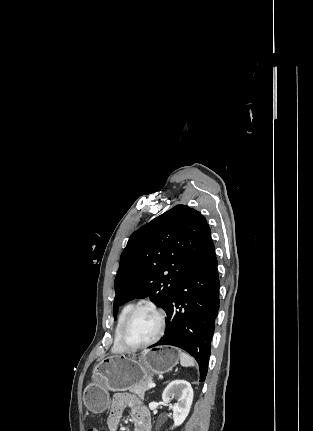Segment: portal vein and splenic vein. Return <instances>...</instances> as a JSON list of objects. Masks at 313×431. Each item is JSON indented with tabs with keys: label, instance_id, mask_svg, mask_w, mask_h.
<instances>
[{
	"label": "portal vein and splenic vein",
	"instance_id": "1",
	"mask_svg": "<svg viewBox=\"0 0 313 431\" xmlns=\"http://www.w3.org/2000/svg\"><path fill=\"white\" fill-rule=\"evenodd\" d=\"M155 386H156V384H154L152 382H150V383L147 384V387H149V388H154Z\"/></svg>",
	"mask_w": 313,
	"mask_h": 431
}]
</instances>
